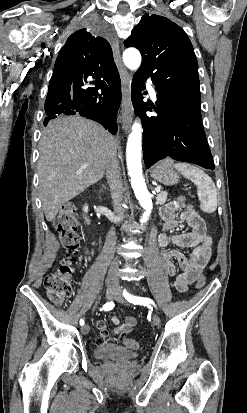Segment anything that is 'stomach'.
Segmentation results:
<instances>
[{
  "mask_svg": "<svg viewBox=\"0 0 247 413\" xmlns=\"http://www.w3.org/2000/svg\"><path fill=\"white\" fill-rule=\"evenodd\" d=\"M152 178L155 180H159V182H163V184H176L180 178L179 172L174 170V166H172L171 162H166L163 160L161 164H157L155 168L151 170Z\"/></svg>",
  "mask_w": 247,
  "mask_h": 413,
  "instance_id": "stomach-1",
  "label": "stomach"
}]
</instances>
